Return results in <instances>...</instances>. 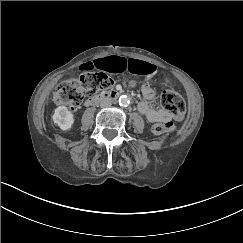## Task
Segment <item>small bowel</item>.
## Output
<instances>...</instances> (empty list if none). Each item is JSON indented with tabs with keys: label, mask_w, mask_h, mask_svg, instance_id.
Masks as SVG:
<instances>
[{
	"label": "small bowel",
	"mask_w": 243,
	"mask_h": 243,
	"mask_svg": "<svg viewBox=\"0 0 243 243\" xmlns=\"http://www.w3.org/2000/svg\"><path fill=\"white\" fill-rule=\"evenodd\" d=\"M80 70L87 72L93 70L105 71L109 73L129 72L137 75H150L156 71L154 64L133 58L122 56H109L86 62L80 66ZM144 100L138 104L139 111L150 122H163L167 119V115L153 108L150 102L154 98V91L149 85L142 87Z\"/></svg>",
	"instance_id": "1"
}]
</instances>
